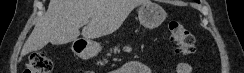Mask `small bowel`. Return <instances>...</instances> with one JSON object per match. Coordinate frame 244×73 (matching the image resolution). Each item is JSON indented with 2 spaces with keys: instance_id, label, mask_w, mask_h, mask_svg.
I'll use <instances>...</instances> for the list:
<instances>
[{
  "instance_id": "c3829d8e",
  "label": "small bowel",
  "mask_w": 244,
  "mask_h": 73,
  "mask_svg": "<svg viewBox=\"0 0 244 73\" xmlns=\"http://www.w3.org/2000/svg\"><path fill=\"white\" fill-rule=\"evenodd\" d=\"M113 73H152L149 66L140 61H128ZM175 73H191V66L181 62L176 66Z\"/></svg>"
}]
</instances>
